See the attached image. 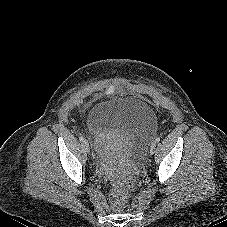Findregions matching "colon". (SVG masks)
Here are the masks:
<instances>
[{
    "label": "colon",
    "mask_w": 227,
    "mask_h": 227,
    "mask_svg": "<svg viewBox=\"0 0 227 227\" xmlns=\"http://www.w3.org/2000/svg\"><path fill=\"white\" fill-rule=\"evenodd\" d=\"M133 187V181L131 179H124L117 177L114 180L113 187L110 194V200L112 206L116 210H121L125 207L128 199L129 192Z\"/></svg>",
    "instance_id": "5ec220e1"
}]
</instances>
